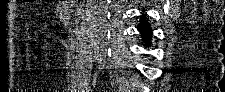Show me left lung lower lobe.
Returning <instances> with one entry per match:
<instances>
[{
	"label": "left lung lower lobe",
	"instance_id": "left-lung-lower-lobe-1",
	"mask_svg": "<svg viewBox=\"0 0 225 92\" xmlns=\"http://www.w3.org/2000/svg\"><path fill=\"white\" fill-rule=\"evenodd\" d=\"M138 30L142 35V40L145 42V46H150L151 44V36H152V28L148 23V19L144 14H142L140 19V24L138 26Z\"/></svg>",
	"mask_w": 225,
	"mask_h": 92
}]
</instances>
